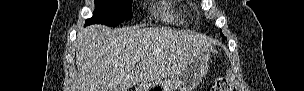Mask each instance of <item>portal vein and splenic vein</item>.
<instances>
[{"instance_id":"1","label":"portal vein and splenic vein","mask_w":304,"mask_h":91,"mask_svg":"<svg viewBox=\"0 0 304 91\" xmlns=\"http://www.w3.org/2000/svg\"><path fill=\"white\" fill-rule=\"evenodd\" d=\"M133 60H134L135 62H139V61L141 60V58H140L139 56H135V57L133 58Z\"/></svg>"}]
</instances>
